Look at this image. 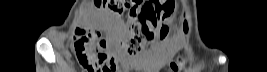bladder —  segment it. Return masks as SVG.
<instances>
[{
	"mask_svg": "<svg viewBox=\"0 0 267 72\" xmlns=\"http://www.w3.org/2000/svg\"><path fill=\"white\" fill-rule=\"evenodd\" d=\"M115 22H118V20H117L115 17H113V18H112V23H111V24H112V25H115V24H114Z\"/></svg>",
	"mask_w": 267,
	"mask_h": 72,
	"instance_id": "obj_1",
	"label": "bladder"
}]
</instances>
